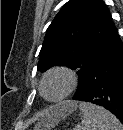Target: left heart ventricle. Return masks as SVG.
I'll list each match as a JSON object with an SVG mask.
<instances>
[{
  "mask_svg": "<svg viewBox=\"0 0 123 130\" xmlns=\"http://www.w3.org/2000/svg\"><path fill=\"white\" fill-rule=\"evenodd\" d=\"M66 86V78L61 74H56L48 78L44 85V91L48 97H56L65 90Z\"/></svg>",
  "mask_w": 123,
  "mask_h": 130,
  "instance_id": "left-heart-ventricle-1",
  "label": "left heart ventricle"
}]
</instances>
